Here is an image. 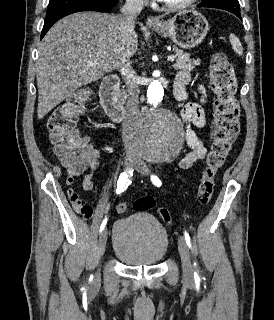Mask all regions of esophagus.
Returning <instances> with one entry per match:
<instances>
[{"label":"esophagus","instance_id":"esophagus-1","mask_svg":"<svg viewBox=\"0 0 274 320\" xmlns=\"http://www.w3.org/2000/svg\"><path fill=\"white\" fill-rule=\"evenodd\" d=\"M157 22H158V20H156V19L153 18V17H148V18L146 19V25H148V26H153V25H155Z\"/></svg>","mask_w":274,"mask_h":320}]
</instances>
